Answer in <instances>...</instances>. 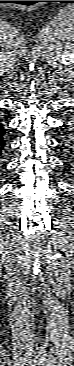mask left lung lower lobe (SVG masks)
I'll list each match as a JSON object with an SVG mask.
<instances>
[{"label":"left lung lower lobe","mask_w":74,"mask_h":366,"mask_svg":"<svg viewBox=\"0 0 74 366\" xmlns=\"http://www.w3.org/2000/svg\"><path fill=\"white\" fill-rule=\"evenodd\" d=\"M67 129L69 130L67 134H72V138L71 139L67 138L68 139V142H67L68 146L66 148L70 147L71 150H74V128L71 127V128H67Z\"/></svg>","instance_id":"0a47b994"}]
</instances>
